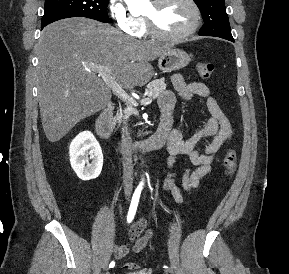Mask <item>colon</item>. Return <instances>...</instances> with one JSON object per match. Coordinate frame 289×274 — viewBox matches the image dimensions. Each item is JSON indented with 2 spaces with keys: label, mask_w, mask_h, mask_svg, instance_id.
<instances>
[{
  "label": "colon",
  "mask_w": 289,
  "mask_h": 274,
  "mask_svg": "<svg viewBox=\"0 0 289 274\" xmlns=\"http://www.w3.org/2000/svg\"><path fill=\"white\" fill-rule=\"evenodd\" d=\"M196 71L201 78L209 79L213 74L214 64L210 61H200L196 64ZM222 164L225 175L231 177L237 167V154L234 149H230L226 152ZM124 268L134 271L137 270L139 266L135 262H128L124 265Z\"/></svg>",
  "instance_id": "obj_1"
}]
</instances>
